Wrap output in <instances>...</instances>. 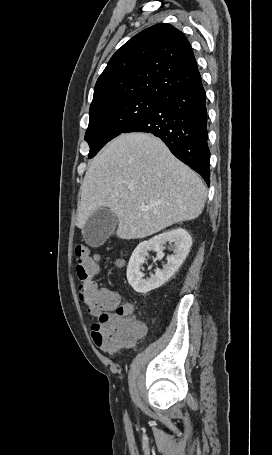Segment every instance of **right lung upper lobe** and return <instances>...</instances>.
Listing matches in <instances>:
<instances>
[{
    "instance_id": "cb5924a9",
    "label": "right lung upper lobe",
    "mask_w": 272,
    "mask_h": 455,
    "mask_svg": "<svg viewBox=\"0 0 272 455\" xmlns=\"http://www.w3.org/2000/svg\"><path fill=\"white\" fill-rule=\"evenodd\" d=\"M200 77L185 35L170 24H156L114 53L96 82L90 109L133 96L164 99Z\"/></svg>"
}]
</instances>
